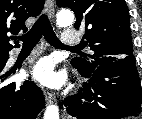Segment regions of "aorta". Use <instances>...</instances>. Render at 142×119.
I'll return each mask as SVG.
<instances>
[{"instance_id":"1","label":"aorta","mask_w":142,"mask_h":119,"mask_svg":"<svg viewBox=\"0 0 142 119\" xmlns=\"http://www.w3.org/2000/svg\"><path fill=\"white\" fill-rule=\"evenodd\" d=\"M74 14L70 10L63 9L57 14L56 23L60 27H66L73 23ZM43 119H59V108L50 105L46 108Z\"/></svg>"}]
</instances>
